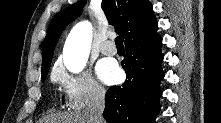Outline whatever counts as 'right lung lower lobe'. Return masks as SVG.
Instances as JSON below:
<instances>
[{
    "label": "right lung lower lobe",
    "instance_id": "obj_1",
    "mask_svg": "<svg viewBox=\"0 0 221 123\" xmlns=\"http://www.w3.org/2000/svg\"><path fill=\"white\" fill-rule=\"evenodd\" d=\"M161 45L156 31L125 45L127 53L121 65L127 80L110 87L105 96L103 116L109 123H156L164 77Z\"/></svg>",
    "mask_w": 221,
    "mask_h": 123
}]
</instances>
